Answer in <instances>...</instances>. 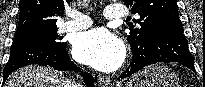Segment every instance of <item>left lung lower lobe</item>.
I'll return each instance as SVG.
<instances>
[{
	"label": "left lung lower lobe",
	"instance_id": "obj_1",
	"mask_svg": "<svg viewBox=\"0 0 205 87\" xmlns=\"http://www.w3.org/2000/svg\"><path fill=\"white\" fill-rule=\"evenodd\" d=\"M132 53L133 60L121 78L129 77L145 66L159 62H177L195 71L180 20H168L159 24L146 43L138 49L133 48Z\"/></svg>",
	"mask_w": 205,
	"mask_h": 87
}]
</instances>
